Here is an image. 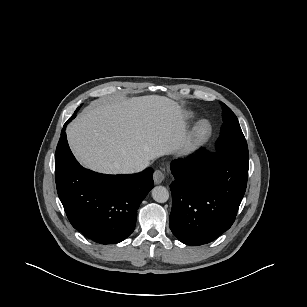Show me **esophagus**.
Here are the masks:
<instances>
[{
    "label": "esophagus",
    "instance_id": "34e87169",
    "mask_svg": "<svg viewBox=\"0 0 307 307\" xmlns=\"http://www.w3.org/2000/svg\"><path fill=\"white\" fill-rule=\"evenodd\" d=\"M153 180L156 185L162 183L164 180V173L162 170H156L153 174Z\"/></svg>",
    "mask_w": 307,
    "mask_h": 307
}]
</instances>
